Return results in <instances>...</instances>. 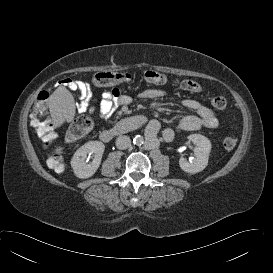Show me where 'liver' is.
Returning a JSON list of instances; mask_svg holds the SVG:
<instances>
[{
	"mask_svg": "<svg viewBox=\"0 0 273 273\" xmlns=\"http://www.w3.org/2000/svg\"><path fill=\"white\" fill-rule=\"evenodd\" d=\"M49 110L55 128L64 122H71L76 113L75 100L71 92L63 86L58 87L50 96Z\"/></svg>",
	"mask_w": 273,
	"mask_h": 273,
	"instance_id": "liver-1",
	"label": "liver"
}]
</instances>
